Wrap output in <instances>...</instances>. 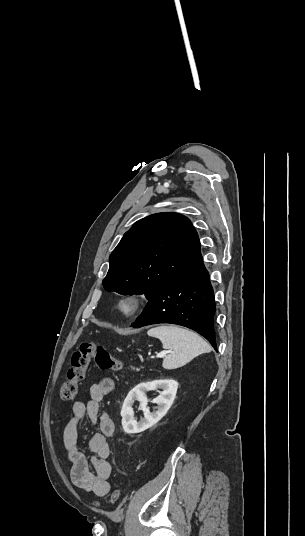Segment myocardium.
<instances>
[{"mask_svg":"<svg viewBox=\"0 0 305 536\" xmlns=\"http://www.w3.org/2000/svg\"><path fill=\"white\" fill-rule=\"evenodd\" d=\"M125 301H129L132 304V307L129 310H124L122 304ZM147 307V298L146 296L138 291H130L123 293L119 296L115 309L116 312L124 319H133L142 314Z\"/></svg>","mask_w":305,"mask_h":536,"instance_id":"f54148a6","label":"myocardium"}]
</instances>
